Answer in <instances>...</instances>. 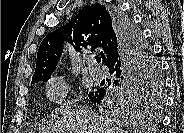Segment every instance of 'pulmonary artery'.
I'll return each instance as SVG.
<instances>
[{"mask_svg":"<svg viewBox=\"0 0 184 133\" xmlns=\"http://www.w3.org/2000/svg\"><path fill=\"white\" fill-rule=\"evenodd\" d=\"M89 74L94 80H97V81H100L104 78L103 71L96 67H90Z\"/></svg>","mask_w":184,"mask_h":133,"instance_id":"e3ab8cb5","label":"pulmonary artery"}]
</instances>
